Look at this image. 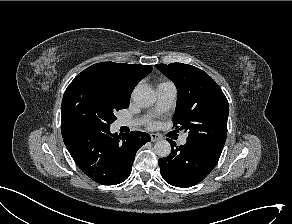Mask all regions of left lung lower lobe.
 I'll use <instances>...</instances> for the list:
<instances>
[{
    "label": "left lung lower lobe",
    "instance_id": "0a47b994",
    "mask_svg": "<svg viewBox=\"0 0 292 224\" xmlns=\"http://www.w3.org/2000/svg\"><path fill=\"white\" fill-rule=\"evenodd\" d=\"M172 152L166 158H160L158 164L163 179L175 187H191L202 181L216 166L221 152L187 141L176 146L167 139Z\"/></svg>",
    "mask_w": 292,
    "mask_h": 224
}]
</instances>
